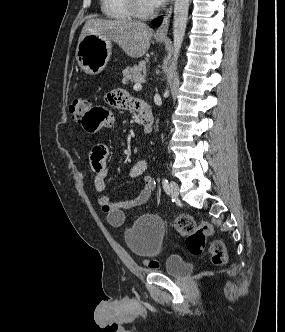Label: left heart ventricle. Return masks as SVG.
Segmentation results:
<instances>
[{
  "instance_id": "obj_1",
  "label": "left heart ventricle",
  "mask_w": 285,
  "mask_h": 332,
  "mask_svg": "<svg viewBox=\"0 0 285 332\" xmlns=\"http://www.w3.org/2000/svg\"><path fill=\"white\" fill-rule=\"evenodd\" d=\"M140 1L145 8H152L149 0H140Z\"/></svg>"
}]
</instances>
